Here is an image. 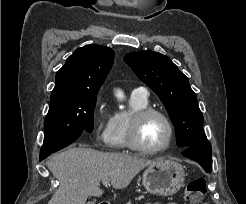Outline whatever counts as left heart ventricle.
<instances>
[{
  "label": "left heart ventricle",
  "mask_w": 246,
  "mask_h": 204,
  "mask_svg": "<svg viewBox=\"0 0 246 204\" xmlns=\"http://www.w3.org/2000/svg\"><path fill=\"white\" fill-rule=\"evenodd\" d=\"M169 135L168 126L165 121L156 115L147 118L140 131L141 143L151 149L163 146Z\"/></svg>",
  "instance_id": "obj_1"
}]
</instances>
